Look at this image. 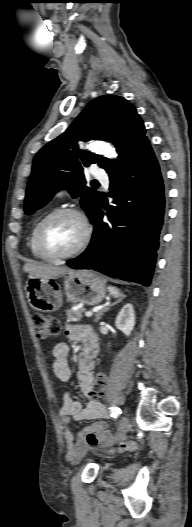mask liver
<instances>
[{
    "mask_svg": "<svg viewBox=\"0 0 192 527\" xmlns=\"http://www.w3.org/2000/svg\"><path fill=\"white\" fill-rule=\"evenodd\" d=\"M23 271L29 273L31 277L57 279L66 273L72 272L73 270L65 266L27 262L23 266Z\"/></svg>",
    "mask_w": 192,
    "mask_h": 527,
    "instance_id": "1",
    "label": "liver"
}]
</instances>
